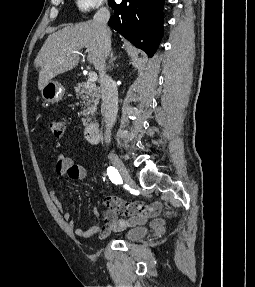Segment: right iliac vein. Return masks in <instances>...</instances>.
Listing matches in <instances>:
<instances>
[{"label":"right iliac vein","mask_w":255,"mask_h":287,"mask_svg":"<svg viewBox=\"0 0 255 287\" xmlns=\"http://www.w3.org/2000/svg\"><path fill=\"white\" fill-rule=\"evenodd\" d=\"M109 159L111 163L115 166V168L119 171L124 181L130 186H133L131 176L122 161L118 158V156L114 152H110Z\"/></svg>","instance_id":"obj_1"}]
</instances>
